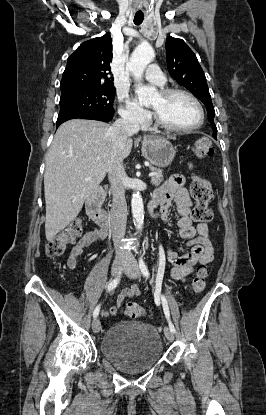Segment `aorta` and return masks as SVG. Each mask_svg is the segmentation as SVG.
Masks as SVG:
<instances>
[{
  "label": "aorta",
  "mask_w": 266,
  "mask_h": 415,
  "mask_svg": "<svg viewBox=\"0 0 266 415\" xmlns=\"http://www.w3.org/2000/svg\"><path fill=\"white\" fill-rule=\"evenodd\" d=\"M154 50L148 43H142L133 51L126 69L131 71L136 80V94L139 102L149 105L156 95V88L142 85V76L146 66L153 60ZM134 225L138 231L142 230L144 221L143 200L139 192H134L131 200Z\"/></svg>",
  "instance_id": "1"
}]
</instances>
